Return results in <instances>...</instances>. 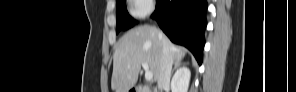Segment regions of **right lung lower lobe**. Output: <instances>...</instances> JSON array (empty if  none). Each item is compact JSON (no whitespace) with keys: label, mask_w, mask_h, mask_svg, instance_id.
<instances>
[{"label":"right lung lower lobe","mask_w":296,"mask_h":92,"mask_svg":"<svg viewBox=\"0 0 296 92\" xmlns=\"http://www.w3.org/2000/svg\"><path fill=\"white\" fill-rule=\"evenodd\" d=\"M206 0H157L155 18L163 32L174 43L184 45L202 62Z\"/></svg>","instance_id":"1"}]
</instances>
